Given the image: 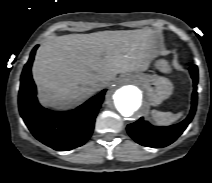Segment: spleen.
Masks as SVG:
<instances>
[{"label": "spleen", "mask_w": 212, "mask_h": 183, "mask_svg": "<svg viewBox=\"0 0 212 183\" xmlns=\"http://www.w3.org/2000/svg\"><path fill=\"white\" fill-rule=\"evenodd\" d=\"M154 121L158 125H169L178 120L182 113L173 114L171 112H161L157 110H152L151 112Z\"/></svg>", "instance_id": "spleen-1"}]
</instances>
